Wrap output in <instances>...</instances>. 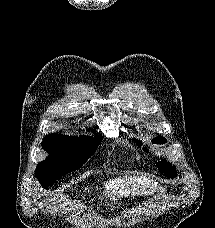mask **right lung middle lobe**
Masks as SVG:
<instances>
[{
	"instance_id": "obj_1",
	"label": "right lung middle lobe",
	"mask_w": 215,
	"mask_h": 228,
	"mask_svg": "<svg viewBox=\"0 0 215 228\" xmlns=\"http://www.w3.org/2000/svg\"><path fill=\"white\" fill-rule=\"evenodd\" d=\"M102 135L71 138L50 134L42 141V148L49 157L37 166L35 176L43 188L53 184L59 177L79 169L96 151Z\"/></svg>"
}]
</instances>
